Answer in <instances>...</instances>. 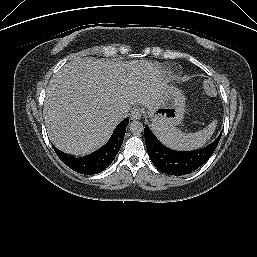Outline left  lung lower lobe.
Returning a JSON list of instances; mask_svg holds the SVG:
<instances>
[{"label": "left lung lower lobe", "instance_id": "left-lung-lower-lobe-1", "mask_svg": "<svg viewBox=\"0 0 257 257\" xmlns=\"http://www.w3.org/2000/svg\"><path fill=\"white\" fill-rule=\"evenodd\" d=\"M222 132L208 146L191 152H178L165 147L148 126L144 129L145 143L148 155L154 166L161 172L180 176L195 171L202 166L215 151Z\"/></svg>", "mask_w": 257, "mask_h": 257}]
</instances>
